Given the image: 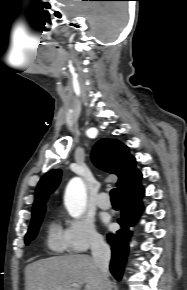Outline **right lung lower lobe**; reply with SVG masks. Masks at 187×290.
<instances>
[{"instance_id": "right-lung-lower-lobe-1", "label": "right lung lower lobe", "mask_w": 187, "mask_h": 290, "mask_svg": "<svg viewBox=\"0 0 187 290\" xmlns=\"http://www.w3.org/2000/svg\"><path fill=\"white\" fill-rule=\"evenodd\" d=\"M143 196L144 193L135 198L121 200V218L118 220L121 229L107 235L112 250L110 271L117 280H121L123 274L128 254V241L132 235L129 228L137 222L142 212L141 197Z\"/></svg>"}]
</instances>
